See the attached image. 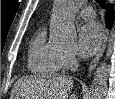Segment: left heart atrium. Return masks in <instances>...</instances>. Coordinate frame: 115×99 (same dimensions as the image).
<instances>
[{
    "label": "left heart atrium",
    "mask_w": 115,
    "mask_h": 99,
    "mask_svg": "<svg viewBox=\"0 0 115 99\" xmlns=\"http://www.w3.org/2000/svg\"><path fill=\"white\" fill-rule=\"evenodd\" d=\"M103 28L99 23L85 24L79 32V52L83 57H90L102 46Z\"/></svg>",
    "instance_id": "39dd6f15"
}]
</instances>
